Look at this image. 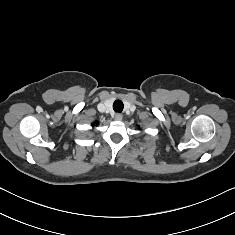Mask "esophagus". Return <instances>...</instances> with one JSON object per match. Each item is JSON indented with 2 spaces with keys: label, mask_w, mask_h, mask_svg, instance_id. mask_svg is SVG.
I'll return each mask as SVG.
<instances>
[{
  "label": "esophagus",
  "mask_w": 235,
  "mask_h": 235,
  "mask_svg": "<svg viewBox=\"0 0 235 235\" xmlns=\"http://www.w3.org/2000/svg\"><path fill=\"white\" fill-rule=\"evenodd\" d=\"M114 118H115V120H117V121H121L122 118H123V116H122V114H120V113H116L115 116H114Z\"/></svg>",
  "instance_id": "1"
}]
</instances>
